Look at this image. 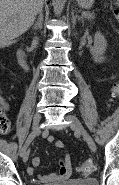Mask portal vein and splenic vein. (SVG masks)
Segmentation results:
<instances>
[{"label": "portal vein and splenic vein", "mask_w": 119, "mask_h": 185, "mask_svg": "<svg viewBox=\"0 0 119 185\" xmlns=\"http://www.w3.org/2000/svg\"><path fill=\"white\" fill-rule=\"evenodd\" d=\"M81 14H82V16H85L87 14V12L84 11Z\"/></svg>", "instance_id": "obj_1"}]
</instances>
